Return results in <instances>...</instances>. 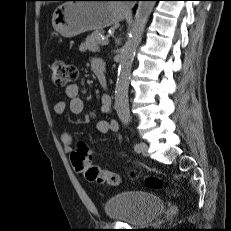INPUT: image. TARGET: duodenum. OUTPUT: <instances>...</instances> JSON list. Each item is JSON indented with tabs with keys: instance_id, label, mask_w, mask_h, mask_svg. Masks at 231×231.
Here are the masks:
<instances>
[{
	"instance_id": "1",
	"label": "duodenum",
	"mask_w": 231,
	"mask_h": 231,
	"mask_svg": "<svg viewBox=\"0 0 231 231\" xmlns=\"http://www.w3.org/2000/svg\"><path fill=\"white\" fill-rule=\"evenodd\" d=\"M102 62V61H101ZM105 64L102 62L99 65H96L93 70L94 73L99 81V83L103 86L106 87L107 85V78H106V72H105Z\"/></svg>"
}]
</instances>
